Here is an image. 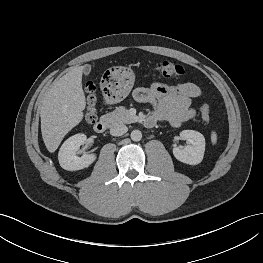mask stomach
<instances>
[{
    "instance_id": "1",
    "label": "stomach",
    "mask_w": 263,
    "mask_h": 263,
    "mask_svg": "<svg viewBox=\"0 0 263 263\" xmlns=\"http://www.w3.org/2000/svg\"><path fill=\"white\" fill-rule=\"evenodd\" d=\"M102 82L105 98L110 103L125 99L133 88L135 74L127 67L117 66L105 72Z\"/></svg>"
}]
</instances>
